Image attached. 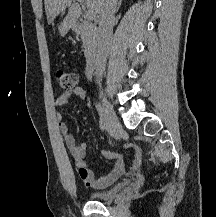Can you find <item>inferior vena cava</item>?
Segmentation results:
<instances>
[{"label": "inferior vena cava", "mask_w": 216, "mask_h": 217, "mask_svg": "<svg viewBox=\"0 0 216 217\" xmlns=\"http://www.w3.org/2000/svg\"><path fill=\"white\" fill-rule=\"evenodd\" d=\"M117 11V0H104L99 12L98 49L96 57L97 83L102 81L106 61L113 36L114 15Z\"/></svg>", "instance_id": "obj_1"}]
</instances>
